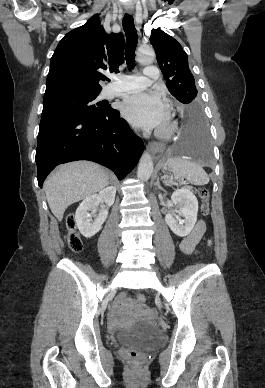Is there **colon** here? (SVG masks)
I'll return each mask as SVG.
<instances>
[{"label":"colon","instance_id":"obj_1","mask_svg":"<svg viewBox=\"0 0 265 388\" xmlns=\"http://www.w3.org/2000/svg\"><path fill=\"white\" fill-rule=\"evenodd\" d=\"M199 196L202 200V211L205 215H208L210 212L209 207V191L206 188H201L199 190ZM65 229H66V240L70 249L74 252H78L82 248L81 239L75 229V221L73 216H67L65 220ZM210 240V244H212ZM135 299L138 304L143 305L146 302V296L143 293H137ZM125 356L133 362H138L140 360V353L136 350H127L125 351Z\"/></svg>","mask_w":265,"mask_h":388}]
</instances>
